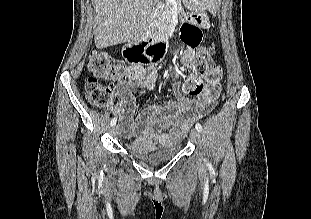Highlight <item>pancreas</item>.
<instances>
[{"instance_id": "obj_1", "label": "pancreas", "mask_w": 311, "mask_h": 219, "mask_svg": "<svg viewBox=\"0 0 311 219\" xmlns=\"http://www.w3.org/2000/svg\"><path fill=\"white\" fill-rule=\"evenodd\" d=\"M177 5V10L180 12L183 10L181 0H175ZM172 4L165 0V3L161 4L160 7L155 8V17L153 21L158 25L159 30L162 34L166 35L170 29V23L172 18Z\"/></svg>"}]
</instances>
